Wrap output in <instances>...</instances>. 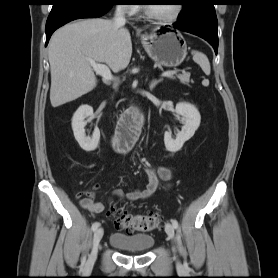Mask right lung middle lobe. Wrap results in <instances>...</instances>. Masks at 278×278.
<instances>
[{
	"instance_id": "right-lung-middle-lobe-1",
	"label": "right lung middle lobe",
	"mask_w": 278,
	"mask_h": 278,
	"mask_svg": "<svg viewBox=\"0 0 278 278\" xmlns=\"http://www.w3.org/2000/svg\"><path fill=\"white\" fill-rule=\"evenodd\" d=\"M52 1H53V7H55L67 0H52ZM73 1L92 3L97 5H114L116 2V0H73Z\"/></svg>"
}]
</instances>
